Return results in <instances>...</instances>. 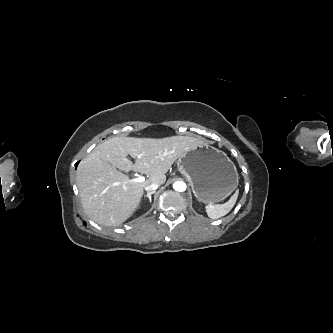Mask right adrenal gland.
I'll return each mask as SVG.
<instances>
[{"mask_svg":"<svg viewBox=\"0 0 333 333\" xmlns=\"http://www.w3.org/2000/svg\"><path fill=\"white\" fill-rule=\"evenodd\" d=\"M155 193H156V191H151V192L147 193L146 195H144V198L147 197L149 199L150 203H151L152 202L151 195L155 194Z\"/></svg>","mask_w":333,"mask_h":333,"instance_id":"2a0ac1e0","label":"right adrenal gland"}]
</instances>
